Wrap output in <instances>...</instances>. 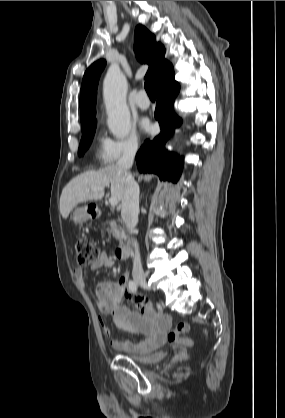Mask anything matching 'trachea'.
I'll list each match as a JSON object with an SVG mask.
<instances>
[{
    "label": "trachea",
    "instance_id": "trachea-1",
    "mask_svg": "<svg viewBox=\"0 0 285 418\" xmlns=\"http://www.w3.org/2000/svg\"><path fill=\"white\" fill-rule=\"evenodd\" d=\"M144 87L149 98H156V89L154 83L151 80H147L144 84Z\"/></svg>",
    "mask_w": 285,
    "mask_h": 418
}]
</instances>
